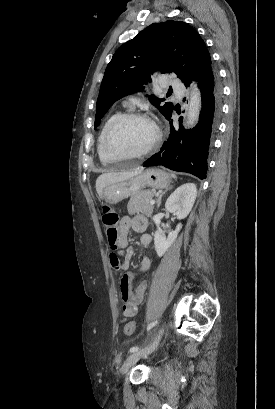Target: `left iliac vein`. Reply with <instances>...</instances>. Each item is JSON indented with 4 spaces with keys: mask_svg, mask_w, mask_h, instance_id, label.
<instances>
[{
    "mask_svg": "<svg viewBox=\"0 0 275 409\" xmlns=\"http://www.w3.org/2000/svg\"><path fill=\"white\" fill-rule=\"evenodd\" d=\"M163 331H164L163 328L159 329L152 343L149 346H147L145 349L133 352L131 355L127 357L126 361L124 362L120 370L121 374H126L127 372H129V369L133 367L138 360L150 355L152 352L156 350L160 342V339L163 335Z\"/></svg>",
    "mask_w": 275,
    "mask_h": 409,
    "instance_id": "obj_1",
    "label": "left iliac vein"
}]
</instances>
